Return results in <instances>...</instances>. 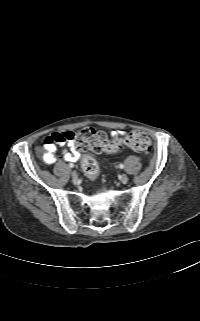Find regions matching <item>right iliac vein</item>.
<instances>
[{
  "instance_id": "obj_1",
  "label": "right iliac vein",
  "mask_w": 200,
  "mask_h": 321,
  "mask_svg": "<svg viewBox=\"0 0 200 321\" xmlns=\"http://www.w3.org/2000/svg\"><path fill=\"white\" fill-rule=\"evenodd\" d=\"M71 176H72L73 180H77V173L75 171L71 172Z\"/></svg>"
}]
</instances>
